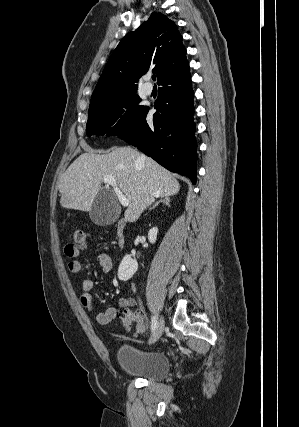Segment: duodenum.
<instances>
[{
    "mask_svg": "<svg viewBox=\"0 0 299 427\" xmlns=\"http://www.w3.org/2000/svg\"><path fill=\"white\" fill-rule=\"evenodd\" d=\"M126 222L121 221L118 223L117 226V241H118V245L120 247H123L125 245V241H126Z\"/></svg>",
    "mask_w": 299,
    "mask_h": 427,
    "instance_id": "1",
    "label": "duodenum"
}]
</instances>
